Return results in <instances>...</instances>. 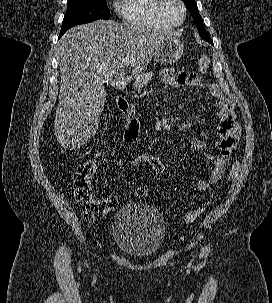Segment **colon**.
<instances>
[{
  "mask_svg": "<svg viewBox=\"0 0 272 303\" xmlns=\"http://www.w3.org/2000/svg\"><path fill=\"white\" fill-rule=\"evenodd\" d=\"M210 64V59L204 56L200 59L199 65L202 71H205ZM133 168H142L156 174L157 176H164L166 173V166L163 160L156 154L150 152H143L136 155L130 162ZM240 170L239 163H234L229 172V185L233 186ZM95 173V164L93 160L87 159L82 161L75 169L73 175V194L76 202L82 209L83 215L88 220H96L115 207V200L113 198H98L95 196L92 185V178ZM139 198H146L148 196V189L146 187H138L135 191ZM205 208H199L187 212L183 220L187 223L195 221L202 214Z\"/></svg>",
  "mask_w": 272,
  "mask_h": 303,
  "instance_id": "5ec220e1",
  "label": "colon"
}]
</instances>
